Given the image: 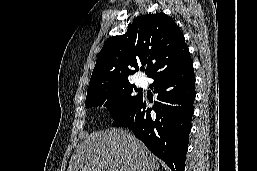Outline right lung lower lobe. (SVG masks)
<instances>
[{
	"label": "right lung lower lobe",
	"mask_w": 257,
	"mask_h": 171,
	"mask_svg": "<svg viewBox=\"0 0 257 171\" xmlns=\"http://www.w3.org/2000/svg\"><path fill=\"white\" fill-rule=\"evenodd\" d=\"M152 78L151 88L158 94L153 109L147 107V101L141 96L113 126L132 129L172 171H184L195 99L192 59Z\"/></svg>",
	"instance_id": "1"
}]
</instances>
